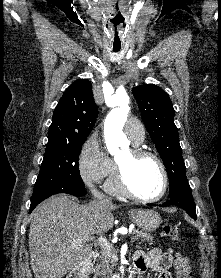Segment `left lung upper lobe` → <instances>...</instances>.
I'll return each instance as SVG.
<instances>
[{
	"label": "left lung upper lobe",
	"mask_w": 221,
	"mask_h": 278,
	"mask_svg": "<svg viewBox=\"0 0 221 278\" xmlns=\"http://www.w3.org/2000/svg\"><path fill=\"white\" fill-rule=\"evenodd\" d=\"M148 133L160 154L169 177V198L191 190L174 124V109L169 95L154 84L132 89Z\"/></svg>",
	"instance_id": "5c2ea615"
}]
</instances>
